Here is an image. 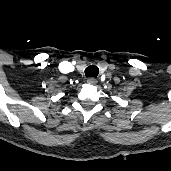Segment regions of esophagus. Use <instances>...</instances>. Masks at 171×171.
I'll use <instances>...</instances> for the list:
<instances>
[{"label":"esophagus","instance_id":"esophagus-1","mask_svg":"<svg viewBox=\"0 0 171 171\" xmlns=\"http://www.w3.org/2000/svg\"><path fill=\"white\" fill-rule=\"evenodd\" d=\"M87 83L90 84V85H96L97 79L94 78V77H89V78L87 79Z\"/></svg>","mask_w":171,"mask_h":171}]
</instances>
